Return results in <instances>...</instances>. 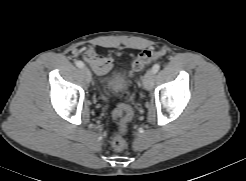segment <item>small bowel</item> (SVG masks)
<instances>
[{"label": "small bowel", "instance_id": "small-bowel-1", "mask_svg": "<svg viewBox=\"0 0 246 181\" xmlns=\"http://www.w3.org/2000/svg\"><path fill=\"white\" fill-rule=\"evenodd\" d=\"M83 59L91 66L95 74L104 79L114 67L111 57L99 56L93 49H88L83 54Z\"/></svg>", "mask_w": 246, "mask_h": 181}]
</instances>
